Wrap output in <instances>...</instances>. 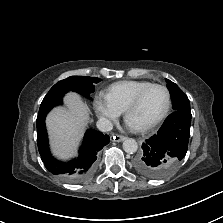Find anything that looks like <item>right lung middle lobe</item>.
Listing matches in <instances>:
<instances>
[{"label":"right lung middle lobe","mask_w":223,"mask_h":223,"mask_svg":"<svg viewBox=\"0 0 223 223\" xmlns=\"http://www.w3.org/2000/svg\"><path fill=\"white\" fill-rule=\"evenodd\" d=\"M101 79L88 76H70L57 82L44 97L41 106L48 104L56 99L62 98L69 91L78 92L89 98V95L95 91V84Z\"/></svg>","instance_id":"1"}]
</instances>
